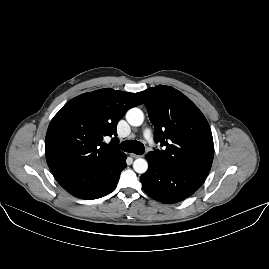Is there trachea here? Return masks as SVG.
Returning <instances> with one entry per match:
<instances>
[{
  "label": "trachea",
  "mask_w": 269,
  "mask_h": 269,
  "mask_svg": "<svg viewBox=\"0 0 269 269\" xmlns=\"http://www.w3.org/2000/svg\"><path fill=\"white\" fill-rule=\"evenodd\" d=\"M121 149L125 152L135 153L137 155H142L144 153V145L137 140H127L122 142Z\"/></svg>",
  "instance_id": "trachea-1"
}]
</instances>
